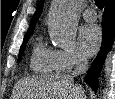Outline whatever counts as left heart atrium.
Listing matches in <instances>:
<instances>
[{"label": "left heart atrium", "instance_id": "39dd6f15", "mask_svg": "<svg viewBox=\"0 0 115 99\" xmlns=\"http://www.w3.org/2000/svg\"><path fill=\"white\" fill-rule=\"evenodd\" d=\"M101 30L95 24L82 28L80 32V44L86 54L95 53L101 44Z\"/></svg>", "mask_w": 115, "mask_h": 99}]
</instances>
